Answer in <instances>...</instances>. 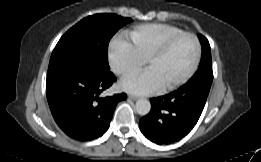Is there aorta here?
<instances>
[{
	"mask_svg": "<svg viewBox=\"0 0 261 162\" xmlns=\"http://www.w3.org/2000/svg\"><path fill=\"white\" fill-rule=\"evenodd\" d=\"M136 112L139 115H147L151 110V104L147 99H139L135 104Z\"/></svg>",
	"mask_w": 261,
	"mask_h": 162,
	"instance_id": "obj_1",
	"label": "aorta"
}]
</instances>
